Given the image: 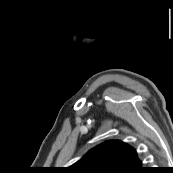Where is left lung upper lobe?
I'll return each instance as SVG.
<instances>
[{
  "label": "left lung upper lobe",
  "instance_id": "5c2ea615",
  "mask_svg": "<svg viewBox=\"0 0 173 173\" xmlns=\"http://www.w3.org/2000/svg\"><path fill=\"white\" fill-rule=\"evenodd\" d=\"M69 169L71 173H142L146 168L131 146L111 140L91 149Z\"/></svg>",
  "mask_w": 173,
  "mask_h": 173
}]
</instances>
